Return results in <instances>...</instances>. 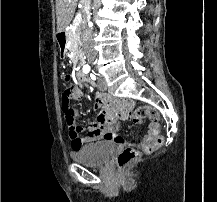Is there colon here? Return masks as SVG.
Instances as JSON below:
<instances>
[{
	"instance_id": "1",
	"label": "colon",
	"mask_w": 217,
	"mask_h": 202,
	"mask_svg": "<svg viewBox=\"0 0 217 202\" xmlns=\"http://www.w3.org/2000/svg\"><path fill=\"white\" fill-rule=\"evenodd\" d=\"M71 95L70 88H64L60 94L62 111L65 117V123L68 126L69 130L74 128V118L72 109L69 105V98ZM132 120L136 126H142L143 118H148L150 121H157L160 118V115L156 111L155 107H148V104H141V107H136V111L132 113ZM164 141L163 137H156L153 142H150L146 145L145 151L150 153L159 147ZM140 156L139 151L126 147L117 157V163L119 166H124L127 163L136 160Z\"/></svg>"
}]
</instances>
